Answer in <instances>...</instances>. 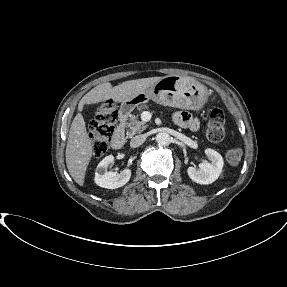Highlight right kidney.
Listing matches in <instances>:
<instances>
[{"instance_id":"ca27d5eb","label":"right kidney","mask_w":287,"mask_h":287,"mask_svg":"<svg viewBox=\"0 0 287 287\" xmlns=\"http://www.w3.org/2000/svg\"><path fill=\"white\" fill-rule=\"evenodd\" d=\"M114 163V156H106L97 166L95 183L103 188L116 189L124 186L131 177V170L124 169L121 173L107 171L110 164Z\"/></svg>"}]
</instances>
